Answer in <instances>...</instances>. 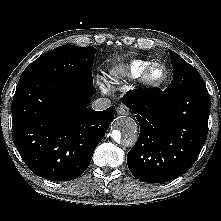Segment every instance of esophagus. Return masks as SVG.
Here are the masks:
<instances>
[{
	"label": "esophagus",
	"mask_w": 221,
	"mask_h": 221,
	"mask_svg": "<svg viewBox=\"0 0 221 221\" xmlns=\"http://www.w3.org/2000/svg\"><path fill=\"white\" fill-rule=\"evenodd\" d=\"M116 111L118 115H129V109L124 105L118 106Z\"/></svg>",
	"instance_id": "34e87169"
}]
</instances>
